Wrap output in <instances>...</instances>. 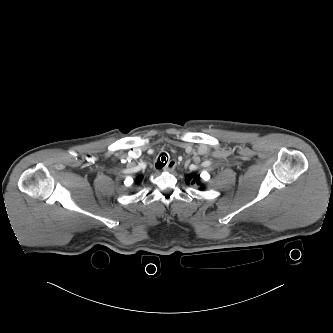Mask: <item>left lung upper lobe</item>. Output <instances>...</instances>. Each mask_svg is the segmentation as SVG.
Segmentation results:
<instances>
[{
  "label": "left lung upper lobe",
  "instance_id": "left-lung-upper-lobe-1",
  "mask_svg": "<svg viewBox=\"0 0 333 333\" xmlns=\"http://www.w3.org/2000/svg\"><path fill=\"white\" fill-rule=\"evenodd\" d=\"M199 179H200L199 175L198 176L188 175L186 177L187 183H191V184H195V183L199 184ZM201 188H203V186H201Z\"/></svg>",
  "mask_w": 333,
  "mask_h": 333
}]
</instances>
